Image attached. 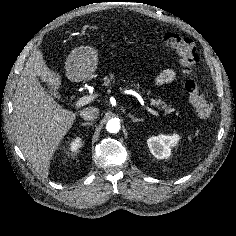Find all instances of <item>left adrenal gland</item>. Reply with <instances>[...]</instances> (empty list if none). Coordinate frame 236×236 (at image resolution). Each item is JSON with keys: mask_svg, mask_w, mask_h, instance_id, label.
<instances>
[{"mask_svg": "<svg viewBox=\"0 0 236 236\" xmlns=\"http://www.w3.org/2000/svg\"><path fill=\"white\" fill-rule=\"evenodd\" d=\"M128 116L132 119L133 122H142L143 119L141 118H137L134 115H132L131 113L128 114Z\"/></svg>", "mask_w": 236, "mask_h": 236, "instance_id": "obj_1", "label": "left adrenal gland"}]
</instances>
